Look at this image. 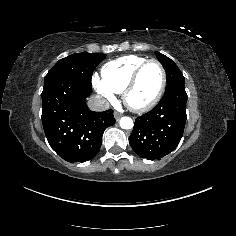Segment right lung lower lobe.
<instances>
[{
  "label": "right lung lower lobe",
  "mask_w": 236,
  "mask_h": 236,
  "mask_svg": "<svg viewBox=\"0 0 236 236\" xmlns=\"http://www.w3.org/2000/svg\"><path fill=\"white\" fill-rule=\"evenodd\" d=\"M92 88L72 79H59L42 91V123L50 146L68 162L92 159L105 129L115 123L112 110L93 112L86 106Z\"/></svg>",
  "instance_id": "obj_1"
}]
</instances>
